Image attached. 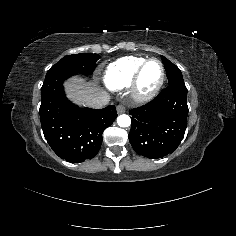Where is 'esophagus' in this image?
Wrapping results in <instances>:
<instances>
[{
	"label": "esophagus",
	"instance_id": "1",
	"mask_svg": "<svg viewBox=\"0 0 236 236\" xmlns=\"http://www.w3.org/2000/svg\"><path fill=\"white\" fill-rule=\"evenodd\" d=\"M117 112H118V114L124 113L125 112V107L123 105H118L117 106Z\"/></svg>",
	"mask_w": 236,
	"mask_h": 236
}]
</instances>
